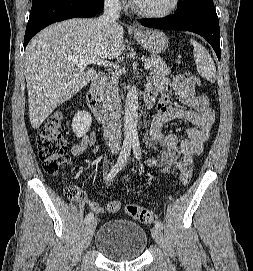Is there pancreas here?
Listing matches in <instances>:
<instances>
[{
	"label": "pancreas",
	"mask_w": 253,
	"mask_h": 271,
	"mask_svg": "<svg viewBox=\"0 0 253 271\" xmlns=\"http://www.w3.org/2000/svg\"><path fill=\"white\" fill-rule=\"evenodd\" d=\"M146 62H150L152 64L150 70L156 75L165 76L171 73L170 68L158 55H151L146 59ZM119 77H120L119 72H112L108 77L101 81L100 94L103 99L106 98L111 88L117 85Z\"/></svg>",
	"instance_id": "obj_1"
}]
</instances>
